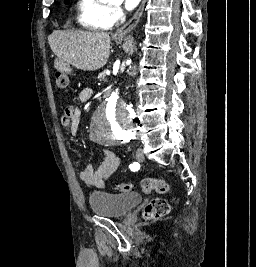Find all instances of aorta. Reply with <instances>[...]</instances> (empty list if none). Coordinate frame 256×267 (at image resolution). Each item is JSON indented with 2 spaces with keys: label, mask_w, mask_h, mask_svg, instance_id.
<instances>
[{
  "label": "aorta",
  "mask_w": 256,
  "mask_h": 267,
  "mask_svg": "<svg viewBox=\"0 0 256 267\" xmlns=\"http://www.w3.org/2000/svg\"><path fill=\"white\" fill-rule=\"evenodd\" d=\"M92 127H133L132 108H127L119 98L101 101L95 108ZM120 133H128V128H89V138L93 143H116Z\"/></svg>",
  "instance_id": "obj_1"
}]
</instances>
